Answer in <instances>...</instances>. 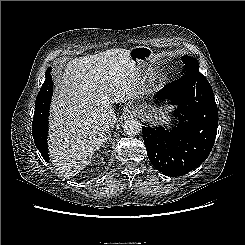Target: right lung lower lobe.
<instances>
[{"label": "right lung lower lobe", "instance_id": "1", "mask_svg": "<svg viewBox=\"0 0 245 245\" xmlns=\"http://www.w3.org/2000/svg\"><path fill=\"white\" fill-rule=\"evenodd\" d=\"M48 116L34 115L32 121V134H33L34 142L46 162L49 161L48 145H47Z\"/></svg>", "mask_w": 245, "mask_h": 245}]
</instances>
